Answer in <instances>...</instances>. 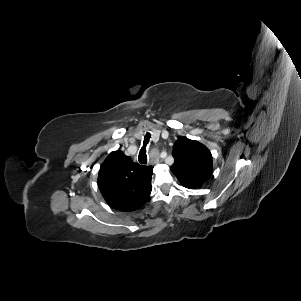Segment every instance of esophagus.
Instances as JSON below:
<instances>
[{"mask_svg":"<svg viewBox=\"0 0 301 301\" xmlns=\"http://www.w3.org/2000/svg\"><path fill=\"white\" fill-rule=\"evenodd\" d=\"M158 162L157 158L155 156H153L151 159H150V164H156Z\"/></svg>","mask_w":301,"mask_h":301,"instance_id":"obj_1","label":"esophagus"}]
</instances>
